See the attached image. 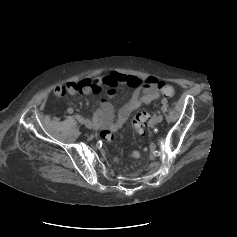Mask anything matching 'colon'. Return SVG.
<instances>
[{"label": "colon", "mask_w": 237, "mask_h": 237, "mask_svg": "<svg viewBox=\"0 0 237 237\" xmlns=\"http://www.w3.org/2000/svg\"><path fill=\"white\" fill-rule=\"evenodd\" d=\"M159 86H160V90L164 96H166V97H173L174 96L175 90L170 84H168L166 82H160ZM148 118H149V114L144 110L139 111L134 116L133 121H132V126H133L135 132L138 133L139 135L144 134V129H145L146 123L148 121ZM99 137L103 140H106V141H112V140H114L115 135H114V133H112L109 130H101L99 132ZM138 155H139V152H137V151L132 153L133 157H138Z\"/></svg>", "instance_id": "5ec220e1"}]
</instances>
